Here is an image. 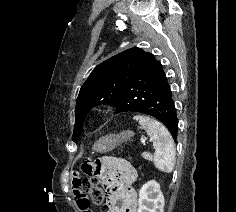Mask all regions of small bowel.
Masks as SVG:
<instances>
[{
  "instance_id": "c3829d8e",
  "label": "small bowel",
  "mask_w": 236,
  "mask_h": 212,
  "mask_svg": "<svg viewBox=\"0 0 236 212\" xmlns=\"http://www.w3.org/2000/svg\"><path fill=\"white\" fill-rule=\"evenodd\" d=\"M87 174V172L84 171ZM100 173L110 189L108 212H137V194L132 184L137 179L136 170L120 158L102 159ZM73 192L81 212H92L86 195L80 189V175L75 173Z\"/></svg>"
}]
</instances>
